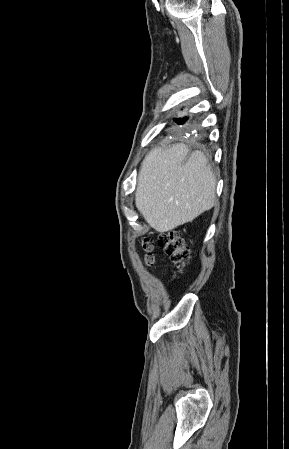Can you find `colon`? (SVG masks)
<instances>
[{
    "label": "colon",
    "mask_w": 289,
    "mask_h": 449,
    "mask_svg": "<svg viewBox=\"0 0 289 449\" xmlns=\"http://www.w3.org/2000/svg\"><path fill=\"white\" fill-rule=\"evenodd\" d=\"M159 244L164 249L165 253L171 258L178 269H183L189 258V249L186 246L183 238L176 232L170 231L162 234L159 238ZM141 248L144 251V259L148 265L154 261L153 256V242L150 238H144L141 241Z\"/></svg>",
    "instance_id": "colon-1"
}]
</instances>
